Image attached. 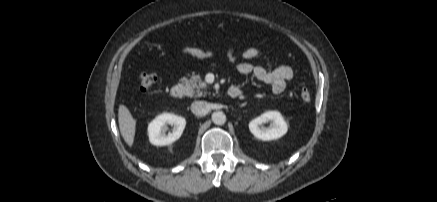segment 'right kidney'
<instances>
[{
    "label": "right kidney",
    "instance_id": "obj_1",
    "mask_svg": "<svg viewBox=\"0 0 437 202\" xmlns=\"http://www.w3.org/2000/svg\"><path fill=\"white\" fill-rule=\"evenodd\" d=\"M173 126L172 132L165 134L164 127ZM186 126L185 118L171 113L157 116L148 126L149 141L156 146H165L178 140Z\"/></svg>",
    "mask_w": 437,
    "mask_h": 202
}]
</instances>
